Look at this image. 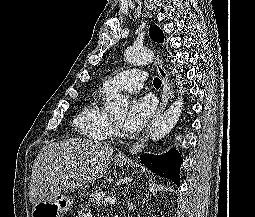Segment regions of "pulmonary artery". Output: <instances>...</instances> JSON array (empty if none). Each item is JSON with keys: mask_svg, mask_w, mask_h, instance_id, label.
Here are the masks:
<instances>
[{"mask_svg": "<svg viewBox=\"0 0 255 217\" xmlns=\"http://www.w3.org/2000/svg\"><path fill=\"white\" fill-rule=\"evenodd\" d=\"M146 78L147 74L141 69H127L106 80L102 87L108 92L115 90L137 92L142 88Z\"/></svg>", "mask_w": 255, "mask_h": 217, "instance_id": "e3ab8cb5", "label": "pulmonary artery"}]
</instances>
